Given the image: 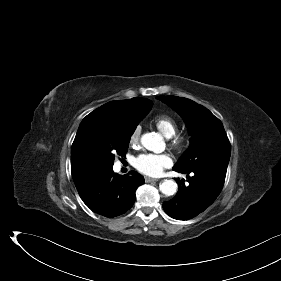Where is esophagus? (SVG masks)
<instances>
[{"label":"esophagus","instance_id":"obj_1","mask_svg":"<svg viewBox=\"0 0 281 281\" xmlns=\"http://www.w3.org/2000/svg\"><path fill=\"white\" fill-rule=\"evenodd\" d=\"M146 182H157L159 181L158 179L150 178V177H145Z\"/></svg>","mask_w":281,"mask_h":281}]
</instances>
